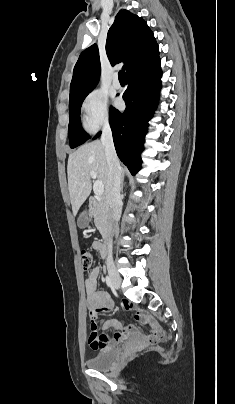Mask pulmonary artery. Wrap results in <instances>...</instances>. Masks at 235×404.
Segmentation results:
<instances>
[{
    "mask_svg": "<svg viewBox=\"0 0 235 404\" xmlns=\"http://www.w3.org/2000/svg\"><path fill=\"white\" fill-rule=\"evenodd\" d=\"M113 87H114L115 89H120V88H121V84H120V81H119V79H118L117 74H115V75H114V78H113Z\"/></svg>",
    "mask_w": 235,
    "mask_h": 404,
    "instance_id": "pulmonary-artery-1",
    "label": "pulmonary artery"
}]
</instances>
